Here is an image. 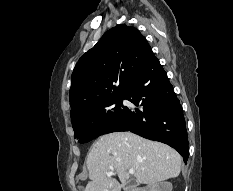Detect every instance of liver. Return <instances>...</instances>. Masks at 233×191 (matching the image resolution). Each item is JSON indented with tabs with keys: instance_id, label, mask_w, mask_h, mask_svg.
Returning <instances> with one entry per match:
<instances>
[{
	"instance_id": "liver-1",
	"label": "liver",
	"mask_w": 233,
	"mask_h": 191,
	"mask_svg": "<svg viewBox=\"0 0 233 191\" xmlns=\"http://www.w3.org/2000/svg\"><path fill=\"white\" fill-rule=\"evenodd\" d=\"M182 158L170 146L147 140L131 132L101 136L91 147L86 160L90 182L85 191H121L134 169L138 184L155 185L178 177ZM115 171L121 183L109 173Z\"/></svg>"
}]
</instances>
